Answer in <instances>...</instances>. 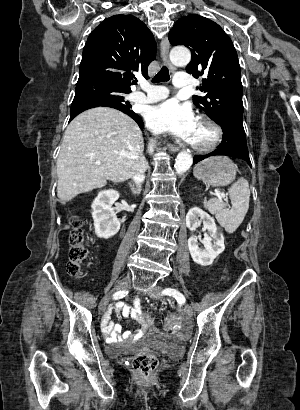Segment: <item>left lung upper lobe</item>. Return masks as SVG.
<instances>
[{
	"mask_svg": "<svg viewBox=\"0 0 300 410\" xmlns=\"http://www.w3.org/2000/svg\"><path fill=\"white\" fill-rule=\"evenodd\" d=\"M173 46L185 45L192 52L186 71L204 76L193 103L219 122L232 118L242 122L241 70L235 47L223 29L210 19L191 14L179 19L168 34Z\"/></svg>",
	"mask_w": 300,
	"mask_h": 410,
	"instance_id": "left-lung-upper-lobe-1",
	"label": "left lung upper lobe"
}]
</instances>
